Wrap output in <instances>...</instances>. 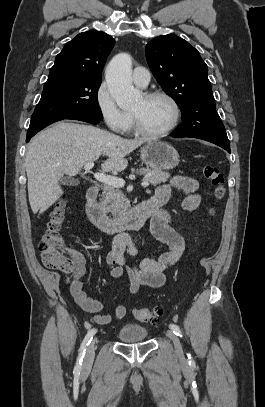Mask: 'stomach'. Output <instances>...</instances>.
<instances>
[{
    "label": "stomach",
    "mask_w": 265,
    "mask_h": 407,
    "mask_svg": "<svg viewBox=\"0 0 265 407\" xmlns=\"http://www.w3.org/2000/svg\"><path fill=\"white\" fill-rule=\"evenodd\" d=\"M140 157L148 168L157 170L173 169L180 161L177 150L163 141L148 142L141 149Z\"/></svg>",
    "instance_id": "stomach-1"
}]
</instances>
